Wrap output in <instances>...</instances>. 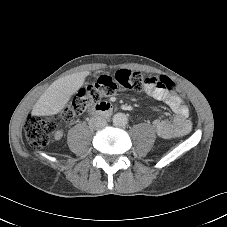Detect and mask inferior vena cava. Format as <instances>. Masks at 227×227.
<instances>
[{
  "label": "inferior vena cava",
  "mask_w": 227,
  "mask_h": 227,
  "mask_svg": "<svg viewBox=\"0 0 227 227\" xmlns=\"http://www.w3.org/2000/svg\"><path fill=\"white\" fill-rule=\"evenodd\" d=\"M107 125V121L104 117L102 116H94L90 118L89 120V126L92 129H100L103 128Z\"/></svg>",
  "instance_id": "1"
}]
</instances>
